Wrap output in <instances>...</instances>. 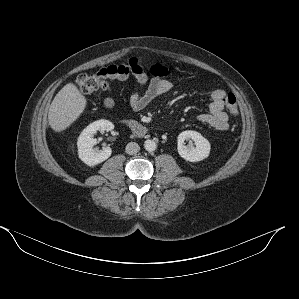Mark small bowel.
<instances>
[{"label": "small bowel", "mask_w": 299, "mask_h": 299, "mask_svg": "<svg viewBox=\"0 0 299 299\" xmlns=\"http://www.w3.org/2000/svg\"><path fill=\"white\" fill-rule=\"evenodd\" d=\"M122 73L117 76L120 80H126L130 75L134 76L139 83V89L135 91L129 104L134 110H141L152 103L157 97L168 92L172 84L167 79L171 70L161 64H153L146 72L136 58L130 59L126 64L117 65ZM226 92L223 89L215 88L210 92L209 112L199 115V120L210 126L213 130L223 132L228 129V116L224 111ZM103 105L112 108L115 103L112 98H105Z\"/></svg>", "instance_id": "small-bowel-1"}]
</instances>
